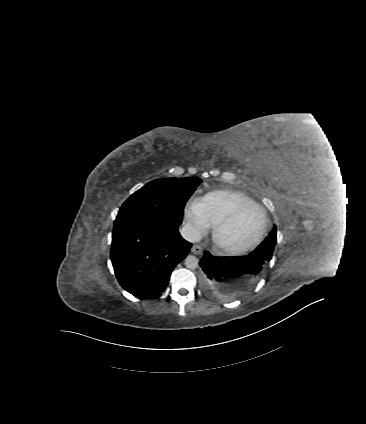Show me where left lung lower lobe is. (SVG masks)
Returning <instances> with one entry per match:
<instances>
[{
	"mask_svg": "<svg viewBox=\"0 0 366 424\" xmlns=\"http://www.w3.org/2000/svg\"><path fill=\"white\" fill-rule=\"evenodd\" d=\"M202 286L211 295L231 299L236 295V281L240 277L250 278L263 273L268 262L252 253L246 256L216 257L208 251L200 261Z\"/></svg>",
	"mask_w": 366,
	"mask_h": 424,
	"instance_id": "left-lung-lower-lobe-1",
	"label": "left lung lower lobe"
}]
</instances>
